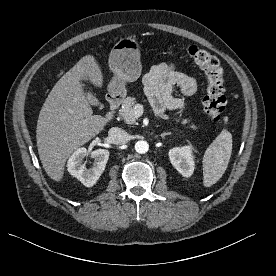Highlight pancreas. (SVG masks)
Here are the masks:
<instances>
[{
  "label": "pancreas",
  "mask_w": 276,
  "mask_h": 276,
  "mask_svg": "<svg viewBox=\"0 0 276 276\" xmlns=\"http://www.w3.org/2000/svg\"><path fill=\"white\" fill-rule=\"evenodd\" d=\"M137 101L135 97H127L122 104V108L119 110V114L127 124H134L136 122V115L134 113V107L136 106ZM181 120V117L175 118V121L179 122ZM189 119H182L181 123L183 125H186L189 123ZM192 129H196L197 127L194 124H191L189 126Z\"/></svg>",
  "instance_id": "cf45deb5"
}]
</instances>
